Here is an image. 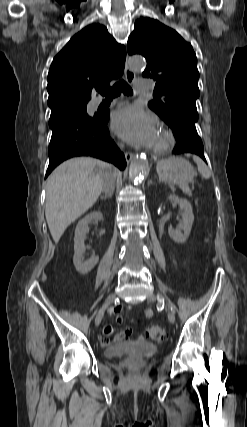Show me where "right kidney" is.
<instances>
[{"label": "right kidney", "instance_id": "obj_1", "mask_svg": "<svg viewBox=\"0 0 247 427\" xmlns=\"http://www.w3.org/2000/svg\"><path fill=\"white\" fill-rule=\"evenodd\" d=\"M103 215L101 212H92L81 219L75 229V237H74V257L73 263L76 270L80 274L89 273L94 266L98 263V256H92L90 259L84 261V253H85V244L84 239L85 235L88 233V223L92 220H101Z\"/></svg>", "mask_w": 247, "mask_h": 427}]
</instances>
